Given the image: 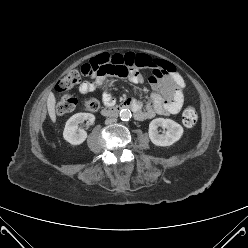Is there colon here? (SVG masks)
Here are the masks:
<instances>
[{"instance_id": "1", "label": "colon", "mask_w": 248, "mask_h": 248, "mask_svg": "<svg viewBox=\"0 0 248 248\" xmlns=\"http://www.w3.org/2000/svg\"><path fill=\"white\" fill-rule=\"evenodd\" d=\"M99 73H112L122 77L127 75V71L121 67L118 59L112 55H100L91 59L82 67L83 75H95ZM81 80V74L78 71L67 73L57 83L55 89L60 94V100L56 105V113L65 115L73 111L75 107V99L68 94V90L78 84ZM84 109L89 112H95L99 109L100 103L95 98H88L83 103ZM198 115L194 107L186 108L182 113V123L185 127L191 128L195 126Z\"/></svg>"}]
</instances>
